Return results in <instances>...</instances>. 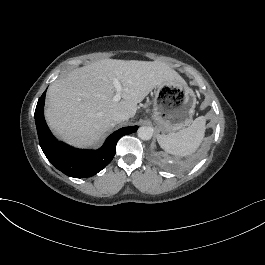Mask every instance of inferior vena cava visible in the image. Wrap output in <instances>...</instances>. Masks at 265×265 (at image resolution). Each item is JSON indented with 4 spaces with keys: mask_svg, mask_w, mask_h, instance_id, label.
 <instances>
[{
    "mask_svg": "<svg viewBox=\"0 0 265 265\" xmlns=\"http://www.w3.org/2000/svg\"><path fill=\"white\" fill-rule=\"evenodd\" d=\"M130 118L129 113L126 111H117L112 114V119L116 123H120L121 121L128 120Z\"/></svg>",
    "mask_w": 265,
    "mask_h": 265,
    "instance_id": "1",
    "label": "inferior vena cava"
}]
</instances>
